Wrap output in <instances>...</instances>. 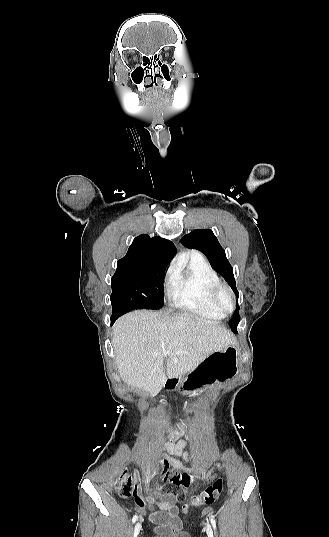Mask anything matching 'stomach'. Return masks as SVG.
<instances>
[{"label": "stomach", "instance_id": "stomach-1", "mask_svg": "<svg viewBox=\"0 0 329 537\" xmlns=\"http://www.w3.org/2000/svg\"><path fill=\"white\" fill-rule=\"evenodd\" d=\"M238 357L239 349L236 344L229 345L221 351H215L190 373L168 379L169 389L183 388L189 392L200 386H208L232 378L238 370Z\"/></svg>", "mask_w": 329, "mask_h": 537}]
</instances>
